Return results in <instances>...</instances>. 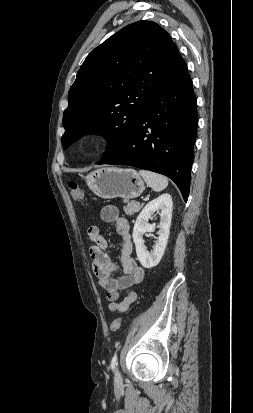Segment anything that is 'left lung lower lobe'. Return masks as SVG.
<instances>
[{"label": "left lung lower lobe", "mask_w": 253, "mask_h": 413, "mask_svg": "<svg viewBox=\"0 0 253 413\" xmlns=\"http://www.w3.org/2000/svg\"><path fill=\"white\" fill-rule=\"evenodd\" d=\"M197 100L180 53L127 144L102 164L129 165L172 179L187 201L197 135Z\"/></svg>", "instance_id": "0a47b994"}]
</instances>
